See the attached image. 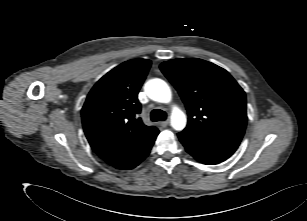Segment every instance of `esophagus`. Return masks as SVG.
I'll return each instance as SVG.
<instances>
[{
  "instance_id": "obj_1",
  "label": "esophagus",
  "mask_w": 307,
  "mask_h": 221,
  "mask_svg": "<svg viewBox=\"0 0 307 221\" xmlns=\"http://www.w3.org/2000/svg\"><path fill=\"white\" fill-rule=\"evenodd\" d=\"M168 125H169V120H165V121L160 122V126L163 127V128L167 127Z\"/></svg>"
}]
</instances>
